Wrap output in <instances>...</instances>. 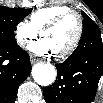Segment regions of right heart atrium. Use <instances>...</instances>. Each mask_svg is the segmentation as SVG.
I'll return each mask as SVG.
<instances>
[{"instance_id": "right-heart-atrium-1", "label": "right heart atrium", "mask_w": 103, "mask_h": 103, "mask_svg": "<svg viewBox=\"0 0 103 103\" xmlns=\"http://www.w3.org/2000/svg\"><path fill=\"white\" fill-rule=\"evenodd\" d=\"M39 34V30L36 29L31 22L26 20L19 21L14 28V37L17 44L24 47L31 40H33Z\"/></svg>"}]
</instances>
